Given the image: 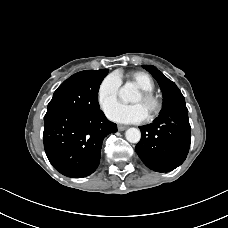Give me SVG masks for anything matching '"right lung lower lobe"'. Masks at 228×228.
Masks as SVG:
<instances>
[{
	"label": "right lung lower lobe",
	"instance_id": "right-lung-lower-lobe-1",
	"mask_svg": "<svg viewBox=\"0 0 228 228\" xmlns=\"http://www.w3.org/2000/svg\"><path fill=\"white\" fill-rule=\"evenodd\" d=\"M117 125L101 110L94 113L53 111L44 117V148L52 166L61 174L82 178L99 165L102 142Z\"/></svg>",
	"mask_w": 228,
	"mask_h": 228
}]
</instances>
